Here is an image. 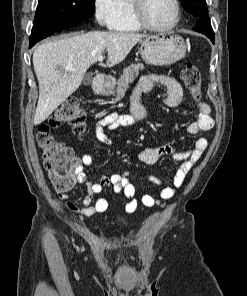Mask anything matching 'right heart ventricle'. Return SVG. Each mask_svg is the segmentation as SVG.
<instances>
[{"mask_svg":"<svg viewBox=\"0 0 247 296\" xmlns=\"http://www.w3.org/2000/svg\"><path fill=\"white\" fill-rule=\"evenodd\" d=\"M118 18L112 27L118 32H137L140 27L135 22L131 7V0H117Z\"/></svg>","mask_w":247,"mask_h":296,"instance_id":"e07e8e85","label":"right heart ventricle"}]
</instances>
